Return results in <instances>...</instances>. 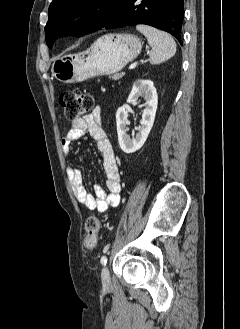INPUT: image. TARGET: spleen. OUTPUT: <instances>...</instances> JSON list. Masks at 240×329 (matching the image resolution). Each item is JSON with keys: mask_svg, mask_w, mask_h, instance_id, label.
<instances>
[{"mask_svg": "<svg viewBox=\"0 0 240 329\" xmlns=\"http://www.w3.org/2000/svg\"><path fill=\"white\" fill-rule=\"evenodd\" d=\"M136 29L145 35L152 47L149 54L151 64H159L176 53V43L168 33L142 24L137 25Z\"/></svg>", "mask_w": 240, "mask_h": 329, "instance_id": "1", "label": "spleen"}]
</instances>
